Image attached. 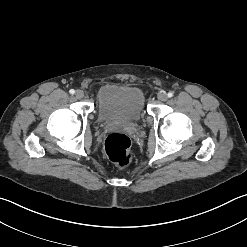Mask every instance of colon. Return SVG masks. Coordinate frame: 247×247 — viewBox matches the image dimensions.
I'll list each match as a JSON object with an SVG mask.
<instances>
[{"label":"colon","mask_w":247,"mask_h":247,"mask_svg":"<svg viewBox=\"0 0 247 247\" xmlns=\"http://www.w3.org/2000/svg\"><path fill=\"white\" fill-rule=\"evenodd\" d=\"M105 151L110 161L125 167L132 159L131 140L123 133H111L105 139Z\"/></svg>","instance_id":"colon-1"}]
</instances>
